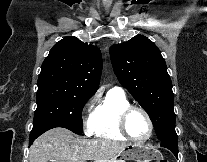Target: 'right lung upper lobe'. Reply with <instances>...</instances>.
I'll return each instance as SVG.
<instances>
[{"mask_svg": "<svg viewBox=\"0 0 207 162\" xmlns=\"http://www.w3.org/2000/svg\"><path fill=\"white\" fill-rule=\"evenodd\" d=\"M102 71L101 52L69 36L57 42L44 60L38 78V89L56 88L92 96Z\"/></svg>", "mask_w": 207, "mask_h": 162, "instance_id": "cb5924a9", "label": "right lung upper lobe"}]
</instances>
